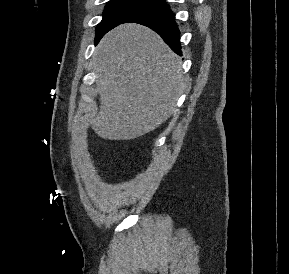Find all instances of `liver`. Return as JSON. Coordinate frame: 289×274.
I'll return each instance as SVG.
<instances>
[{
  "mask_svg": "<svg viewBox=\"0 0 289 274\" xmlns=\"http://www.w3.org/2000/svg\"><path fill=\"white\" fill-rule=\"evenodd\" d=\"M94 59L100 110L91 126L99 137L132 140L177 111L184 87L181 61L151 29L119 25L101 39Z\"/></svg>",
  "mask_w": 289,
  "mask_h": 274,
  "instance_id": "1",
  "label": "liver"
}]
</instances>
